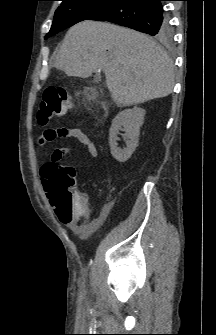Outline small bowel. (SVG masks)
<instances>
[{"label":"small bowel","mask_w":216,"mask_h":335,"mask_svg":"<svg viewBox=\"0 0 216 335\" xmlns=\"http://www.w3.org/2000/svg\"><path fill=\"white\" fill-rule=\"evenodd\" d=\"M74 138L82 145H84L91 158L97 156V148L92 140L79 128H57L50 129L45 132L43 136L38 139L39 144L44 145L56 139ZM62 158L59 150H56L51 155L50 159L41 168V182L46 192L51 190L49 181L51 180V168L45 170L44 167L49 162L59 164ZM74 199L77 203L76 209L67 217L62 218V214L57 211L60 221L66 225L73 232L80 234L83 238H87L91 233L97 230L104 222L101 215L92 218L88 204V197L86 193L77 190L74 193Z\"/></svg>","instance_id":"1"}]
</instances>
